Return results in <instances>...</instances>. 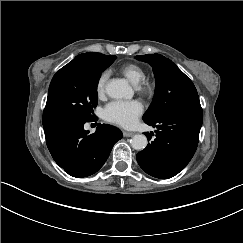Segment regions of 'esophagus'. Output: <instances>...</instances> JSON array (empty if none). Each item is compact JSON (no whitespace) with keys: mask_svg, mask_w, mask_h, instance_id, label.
I'll return each instance as SVG.
<instances>
[{"mask_svg":"<svg viewBox=\"0 0 243 243\" xmlns=\"http://www.w3.org/2000/svg\"><path fill=\"white\" fill-rule=\"evenodd\" d=\"M133 135H134L133 132L123 131V136H124V137H131V136H133Z\"/></svg>","mask_w":243,"mask_h":243,"instance_id":"obj_1","label":"esophagus"}]
</instances>
